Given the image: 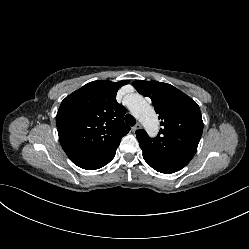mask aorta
Listing matches in <instances>:
<instances>
[{"label":"aorta","mask_w":249,"mask_h":249,"mask_svg":"<svg viewBox=\"0 0 249 249\" xmlns=\"http://www.w3.org/2000/svg\"><path fill=\"white\" fill-rule=\"evenodd\" d=\"M128 108L143 124L146 131L155 136L159 130V120L153 107L139 94L130 97Z\"/></svg>","instance_id":"762f6f07"}]
</instances>
